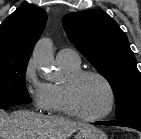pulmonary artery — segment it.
Returning a JSON list of instances; mask_svg holds the SVG:
<instances>
[{
  "label": "pulmonary artery",
  "mask_w": 141,
  "mask_h": 139,
  "mask_svg": "<svg viewBox=\"0 0 141 139\" xmlns=\"http://www.w3.org/2000/svg\"><path fill=\"white\" fill-rule=\"evenodd\" d=\"M56 62L58 64H80L78 53L70 48L61 49L56 55Z\"/></svg>",
  "instance_id": "e3ab8cb5"
}]
</instances>
